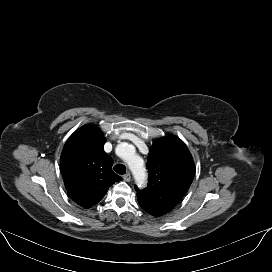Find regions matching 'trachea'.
Instances as JSON below:
<instances>
[{
	"instance_id": "3493384b",
	"label": "trachea",
	"mask_w": 272,
	"mask_h": 272,
	"mask_svg": "<svg viewBox=\"0 0 272 272\" xmlns=\"http://www.w3.org/2000/svg\"><path fill=\"white\" fill-rule=\"evenodd\" d=\"M114 171L120 175H123L126 173V167L123 164H116L113 167Z\"/></svg>"
}]
</instances>
